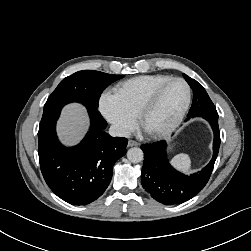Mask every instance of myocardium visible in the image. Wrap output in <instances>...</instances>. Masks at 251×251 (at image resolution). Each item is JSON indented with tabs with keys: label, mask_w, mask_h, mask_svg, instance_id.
I'll use <instances>...</instances> for the list:
<instances>
[{
	"label": "myocardium",
	"mask_w": 251,
	"mask_h": 251,
	"mask_svg": "<svg viewBox=\"0 0 251 251\" xmlns=\"http://www.w3.org/2000/svg\"><path fill=\"white\" fill-rule=\"evenodd\" d=\"M173 82H181L185 85L186 90H187V98H186V102L183 106V108L181 109L180 113L178 114V116L165 128L157 130V131H149L145 128V119L147 117V115L150 113V111L155 107L161 93L163 92V90L171 83ZM191 100H192V89L191 86L189 85V83L181 78V77H172L170 79H168L167 81L163 82L162 84H160L157 88H155L152 93L148 96V98L146 99V101L143 103L142 107L140 108L139 112H138V122H139V126L140 128L150 137L152 138H161L164 136H167L169 134H171L174 130H176V128H178V126L182 123L183 119L185 118L189 107L191 105Z\"/></svg>",
	"instance_id": "f54148a6"
}]
</instances>
